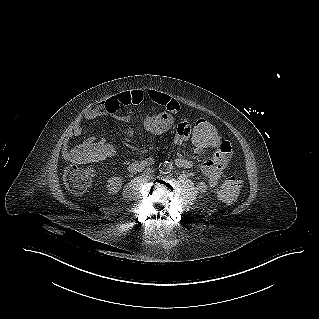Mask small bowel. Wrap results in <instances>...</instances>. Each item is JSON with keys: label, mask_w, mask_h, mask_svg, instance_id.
Wrapping results in <instances>:
<instances>
[{"label": "small bowel", "mask_w": 319, "mask_h": 319, "mask_svg": "<svg viewBox=\"0 0 319 319\" xmlns=\"http://www.w3.org/2000/svg\"><path fill=\"white\" fill-rule=\"evenodd\" d=\"M144 99H148L151 103L156 105V108H165L166 113L173 118L169 113H177L178 108L182 107L181 99H172L168 95L151 90L147 93H144L141 90L127 91L118 93L108 99H105L98 103L97 105L90 108L83 115V119L85 121H92L98 117H102L108 114H113L122 106H127L130 104H139L144 101ZM122 121H128L125 116L120 117ZM205 120V119H199ZM172 129L177 130L174 136V142L177 145H182L188 138L189 135L192 134V127L190 121H173ZM84 129L79 123H75L69 130V137L72 136H80L84 134ZM69 137L65 140L64 149L65 153L69 151ZM103 141H98L95 138H88L83 144L87 146H97L100 149V146ZM192 142V141H191ZM194 145V153L196 155H201L204 151L200 150L195 143ZM219 151L214 152L213 156L201 165V172L203 176L207 180V184L209 187H216L222 180L224 171L226 169L229 156L231 155V148L227 140L220 139L218 141ZM221 151V152H220ZM98 161H103L102 157ZM154 162L152 158L136 161L129 165V169L131 171H139L150 165ZM175 163L177 166L189 169L193 166V162L186 158H176Z\"/></svg>", "instance_id": "c3829d8e"}]
</instances>
